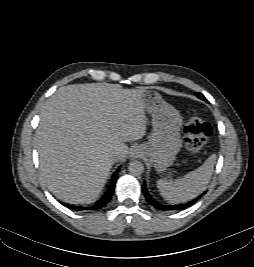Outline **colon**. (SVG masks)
<instances>
[{"instance_id": "colon-1", "label": "colon", "mask_w": 254, "mask_h": 267, "mask_svg": "<svg viewBox=\"0 0 254 267\" xmlns=\"http://www.w3.org/2000/svg\"><path fill=\"white\" fill-rule=\"evenodd\" d=\"M183 132L187 150L192 156H197L207 144L213 128L197 114L195 109H189Z\"/></svg>"}]
</instances>
